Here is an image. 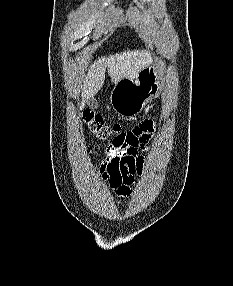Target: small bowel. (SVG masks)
<instances>
[{
	"label": "small bowel",
	"mask_w": 233,
	"mask_h": 286,
	"mask_svg": "<svg viewBox=\"0 0 233 286\" xmlns=\"http://www.w3.org/2000/svg\"><path fill=\"white\" fill-rule=\"evenodd\" d=\"M154 132L155 125L145 121L138 131L121 135L105 147L106 157L100 163L99 173L119 196H128L136 176L142 173L145 162L142 151L149 149Z\"/></svg>",
	"instance_id": "1"
}]
</instances>
